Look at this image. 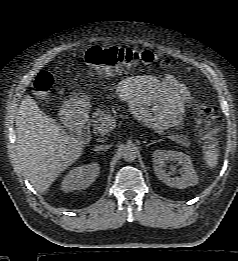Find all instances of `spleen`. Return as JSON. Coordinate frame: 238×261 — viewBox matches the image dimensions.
I'll return each instance as SVG.
<instances>
[{
	"mask_svg": "<svg viewBox=\"0 0 238 261\" xmlns=\"http://www.w3.org/2000/svg\"><path fill=\"white\" fill-rule=\"evenodd\" d=\"M219 150L216 144H211L204 150V161L209 168H215L218 164Z\"/></svg>",
	"mask_w": 238,
	"mask_h": 261,
	"instance_id": "obj_1",
	"label": "spleen"
}]
</instances>
